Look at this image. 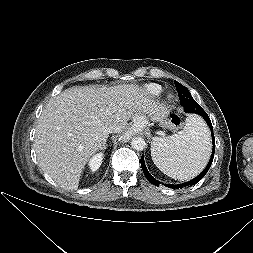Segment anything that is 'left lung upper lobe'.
I'll return each instance as SVG.
<instances>
[{
  "label": "left lung upper lobe",
  "mask_w": 253,
  "mask_h": 253,
  "mask_svg": "<svg viewBox=\"0 0 253 253\" xmlns=\"http://www.w3.org/2000/svg\"><path fill=\"white\" fill-rule=\"evenodd\" d=\"M174 83L184 110L188 113H195V109L199 106L197 102L193 99L187 88L177 81H174Z\"/></svg>",
  "instance_id": "1"
}]
</instances>
